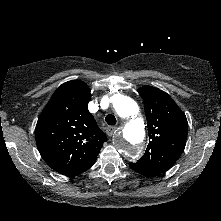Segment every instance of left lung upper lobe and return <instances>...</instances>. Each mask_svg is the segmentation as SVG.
<instances>
[{"mask_svg":"<svg viewBox=\"0 0 221 221\" xmlns=\"http://www.w3.org/2000/svg\"><path fill=\"white\" fill-rule=\"evenodd\" d=\"M138 92L144 101L149 144L137 163L158 175L170 169L182 154L187 119L166 92L151 86H143Z\"/></svg>","mask_w":221,"mask_h":221,"instance_id":"5c2ea615","label":"left lung upper lobe"}]
</instances>
